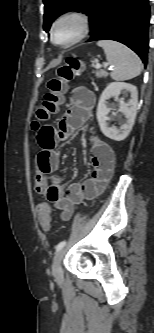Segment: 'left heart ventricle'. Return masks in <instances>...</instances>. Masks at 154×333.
Listing matches in <instances>:
<instances>
[{
    "instance_id": "left-heart-ventricle-1",
    "label": "left heart ventricle",
    "mask_w": 154,
    "mask_h": 333,
    "mask_svg": "<svg viewBox=\"0 0 154 333\" xmlns=\"http://www.w3.org/2000/svg\"><path fill=\"white\" fill-rule=\"evenodd\" d=\"M76 31V24L71 21L63 22L57 27L56 38L60 42L71 39Z\"/></svg>"
}]
</instances>
